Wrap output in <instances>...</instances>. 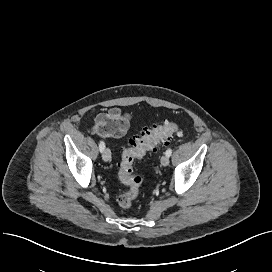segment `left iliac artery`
I'll return each instance as SVG.
<instances>
[{
	"mask_svg": "<svg viewBox=\"0 0 272 272\" xmlns=\"http://www.w3.org/2000/svg\"><path fill=\"white\" fill-rule=\"evenodd\" d=\"M165 154H166L168 157H170L171 154H172V149H171V148L167 149V151H166Z\"/></svg>",
	"mask_w": 272,
	"mask_h": 272,
	"instance_id": "obj_1",
	"label": "left iliac artery"
}]
</instances>
